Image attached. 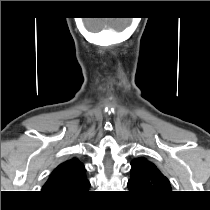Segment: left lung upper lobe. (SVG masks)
<instances>
[{
    "instance_id": "obj_1",
    "label": "left lung upper lobe",
    "mask_w": 210,
    "mask_h": 210,
    "mask_svg": "<svg viewBox=\"0 0 210 210\" xmlns=\"http://www.w3.org/2000/svg\"><path fill=\"white\" fill-rule=\"evenodd\" d=\"M131 178L128 188L131 191L159 196L171 192L169 180L150 161L143 157L136 158L131 163Z\"/></svg>"
}]
</instances>
